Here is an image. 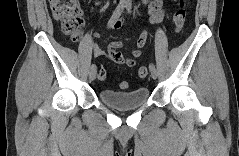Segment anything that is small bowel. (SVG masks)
I'll use <instances>...</instances> for the list:
<instances>
[{"mask_svg": "<svg viewBox=\"0 0 239 156\" xmlns=\"http://www.w3.org/2000/svg\"><path fill=\"white\" fill-rule=\"evenodd\" d=\"M142 6L149 15L151 24L160 23L166 14V9L163 7L161 0L143 1ZM112 27L116 30L122 28L123 20L118 18L113 23ZM146 40L147 31H143L130 52L127 51L124 42L114 40L110 43L106 55L114 63L127 67H134L136 65V59L142 55ZM94 53L96 56H102L105 54V52L97 46L94 47Z\"/></svg>", "mask_w": 239, "mask_h": 156, "instance_id": "c3829d8e", "label": "small bowel"}]
</instances>
